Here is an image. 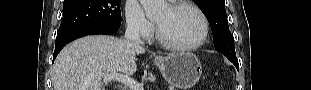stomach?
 I'll list each match as a JSON object with an SVG mask.
<instances>
[{
  "mask_svg": "<svg viewBox=\"0 0 311 90\" xmlns=\"http://www.w3.org/2000/svg\"><path fill=\"white\" fill-rule=\"evenodd\" d=\"M155 64L165 80L180 90L193 87L202 74L200 61L189 52L170 53L167 56L156 57Z\"/></svg>",
  "mask_w": 311,
  "mask_h": 90,
  "instance_id": "stomach-1",
  "label": "stomach"
}]
</instances>
